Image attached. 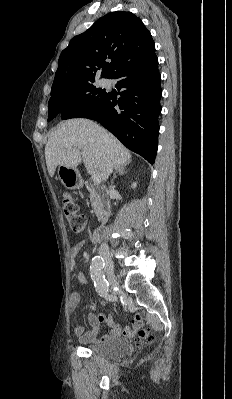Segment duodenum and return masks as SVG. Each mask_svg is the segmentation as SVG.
Listing matches in <instances>:
<instances>
[{
	"label": "duodenum",
	"instance_id": "duodenum-1",
	"mask_svg": "<svg viewBox=\"0 0 232 399\" xmlns=\"http://www.w3.org/2000/svg\"><path fill=\"white\" fill-rule=\"evenodd\" d=\"M107 230H108V228L106 226L98 227L93 232V235H92L93 242H95V243L101 242L105 238V236L107 234Z\"/></svg>",
	"mask_w": 232,
	"mask_h": 399
}]
</instances>
